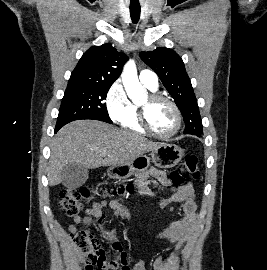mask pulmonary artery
Instances as JSON below:
<instances>
[{"instance_id": "obj_1", "label": "pulmonary artery", "mask_w": 267, "mask_h": 270, "mask_svg": "<svg viewBox=\"0 0 267 270\" xmlns=\"http://www.w3.org/2000/svg\"><path fill=\"white\" fill-rule=\"evenodd\" d=\"M139 79L142 83L152 87L158 88L159 82L155 72L149 69H143L139 73Z\"/></svg>"}]
</instances>
